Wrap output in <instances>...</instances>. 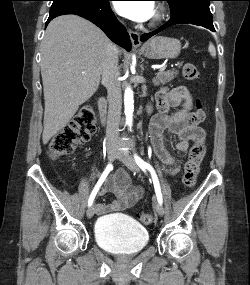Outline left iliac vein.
Wrapping results in <instances>:
<instances>
[{"label": "left iliac vein", "instance_id": "left-iliac-vein-1", "mask_svg": "<svg viewBox=\"0 0 250 285\" xmlns=\"http://www.w3.org/2000/svg\"><path fill=\"white\" fill-rule=\"evenodd\" d=\"M116 158L119 159L121 162H123L131 171L133 172L139 171L137 163L127 151L119 150L116 154ZM155 209L158 215L160 216L164 215V208L162 204H160L159 202L156 203Z\"/></svg>", "mask_w": 250, "mask_h": 285}]
</instances>
